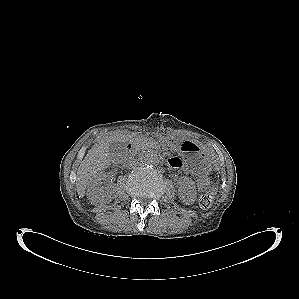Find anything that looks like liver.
<instances>
[{
	"mask_svg": "<svg viewBox=\"0 0 299 299\" xmlns=\"http://www.w3.org/2000/svg\"><path fill=\"white\" fill-rule=\"evenodd\" d=\"M134 136L133 133L113 132L101 138L88 150L81 162L76 175L78 195L84 197L89 181L100 171L108 168L119 154L110 153L109 148L114 142L125 143Z\"/></svg>",
	"mask_w": 299,
	"mask_h": 299,
	"instance_id": "1",
	"label": "liver"
}]
</instances>
